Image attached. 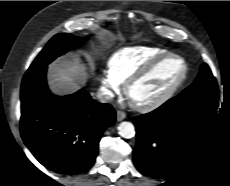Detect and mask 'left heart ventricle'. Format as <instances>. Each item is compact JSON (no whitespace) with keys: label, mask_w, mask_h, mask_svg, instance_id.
I'll return each mask as SVG.
<instances>
[{"label":"left heart ventricle","mask_w":230,"mask_h":186,"mask_svg":"<svg viewBox=\"0 0 230 186\" xmlns=\"http://www.w3.org/2000/svg\"><path fill=\"white\" fill-rule=\"evenodd\" d=\"M182 68V63L179 60L166 59L148 76L133 86L130 94L131 99L137 103L155 99L181 74Z\"/></svg>","instance_id":"obj_1"}]
</instances>
